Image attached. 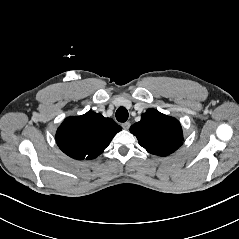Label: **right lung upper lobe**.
Instances as JSON below:
<instances>
[{
    "label": "right lung upper lobe",
    "mask_w": 239,
    "mask_h": 239,
    "mask_svg": "<svg viewBox=\"0 0 239 239\" xmlns=\"http://www.w3.org/2000/svg\"><path fill=\"white\" fill-rule=\"evenodd\" d=\"M121 129L113 119L89 111L81 116L66 118L57 130L56 142L71 158L94 159Z\"/></svg>",
    "instance_id": "1"
}]
</instances>
